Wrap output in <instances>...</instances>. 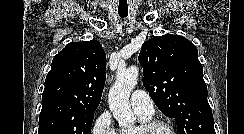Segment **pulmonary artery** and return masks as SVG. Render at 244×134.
Here are the masks:
<instances>
[{"mask_svg":"<svg viewBox=\"0 0 244 134\" xmlns=\"http://www.w3.org/2000/svg\"><path fill=\"white\" fill-rule=\"evenodd\" d=\"M130 104L136 113L144 116H152L154 113L153 101L143 90H135L131 94Z\"/></svg>","mask_w":244,"mask_h":134,"instance_id":"pulmonary-artery-1","label":"pulmonary artery"}]
</instances>
